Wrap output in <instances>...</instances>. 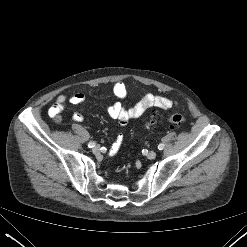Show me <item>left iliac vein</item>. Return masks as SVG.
I'll list each match as a JSON object with an SVG mask.
<instances>
[{
  "label": "left iliac vein",
  "mask_w": 247,
  "mask_h": 247,
  "mask_svg": "<svg viewBox=\"0 0 247 247\" xmlns=\"http://www.w3.org/2000/svg\"><path fill=\"white\" fill-rule=\"evenodd\" d=\"M147 157L149 159H154L156 157V152L155 151H150L148 154H147Z\"/></svg>",
  "instance_id": "left-iliac-vein-1"
}]
</instances>
